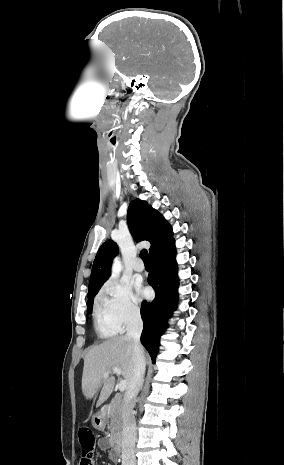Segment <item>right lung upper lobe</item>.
<instances>
[{
	"mask_svg": "<svg viewBox=\"0 0 284 465\" xmlns=\"http://www.w3.org/2000/svg\"><path fill=\"white\" fill-rule=\"evenodd\" d=\"M127 222L136 241L147 240L151 243L150 256L173 239L172 228L163 216L140 199L130 203ZM117 253L118 246L114 241L107 240L101 245L93 263L87 296L97 294L103 283L110 277L112 260Z\"/></svg>",
	"mask_w": 284,
	"mask_h": 465,
	"instance_id": "obj_1",
	"label": "right lung upper lobe"
}]
</instances>
